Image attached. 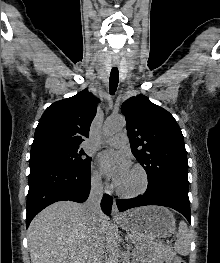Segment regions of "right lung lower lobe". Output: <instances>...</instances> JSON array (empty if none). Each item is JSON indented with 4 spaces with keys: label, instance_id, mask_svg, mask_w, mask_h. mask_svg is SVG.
Instances as JSON below:
<instances>
[{
    "label": "right lung lower lobe",
    "instance_id": "right-lung-lower-lobe-1",
    "mask_svg": "<svg viewBox=\"0 0 220 263\" xmlns=\"http://www.w3.org/2000/svg\"><path fill=\"white\" fill-rule=\"evenodd\" d=\"M90 166L74 168L47 159H30L26 228L41 210L62 200L84 202L90 192ZM113 199L105 194L102 211L110 215Z\"/></svg>",
    "mask_w": 220,
    "mask_h": 263
}]
</instances>
